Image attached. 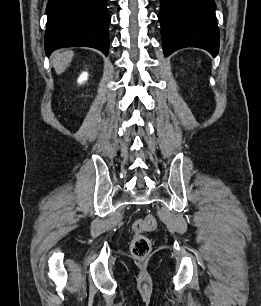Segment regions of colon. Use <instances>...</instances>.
<instances>
[{"label": "colon", "mask_w": 261, "mask_h": 306, "mask_svg": "<svg viewBox=\"0 0 261 306\" xmlns=\"http://www.w3.org/2000/svg\"><path fill=\"white\" fill-rule=\"evenodd\" d=\"M157 221L148 214L137 219L132 226L133 237L130 244L132 255L137 259H144L151 251V240L145 235L146 232L155 230Z\"/></svg>", "instance_id": "obj_1"}]
</instances>
